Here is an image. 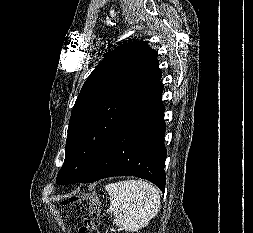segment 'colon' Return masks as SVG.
I'll list each match as a JSON object with an SVG mask.
<instances>
[{"instance_id": "5ec220e1", "label": "colon", "mask_w": 253, "mask_h": 233, "mask_svg": "<svg viewBox=\"0 0 253 233\" xmlns=\"http://www.w3.org/2000/svg\"><path fill=\"white\" fill-rule=\"evenodd\" d=\"M88 201L90 203V210L86 214L84 218V224L79 229L78 233H99L98 232V224H99V201L92 194H84V195H73L67 197L61 201L62 205L70 206L79 201Z\"/></svg>"}]
</instances>
